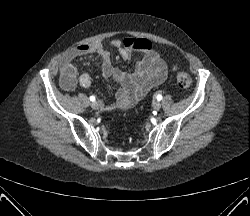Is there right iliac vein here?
<instances>
[{
	"label": "right iliac vein",
	"mask_w": 250,
	"mask_h": 216,
	"mask_svg": "<svg viewBox=\"0 0 250 216\" xmlns=\"http://www.w3.org/2000/svg\"><path fill=\"white\" fill-rule=\"evenodd\" d=\"M91 107H92L94 110H96V109H98V107H99V103L96 102V101H94V102L91 104Z\"/></svg>",
	"instance_id": "1"
}]
</instances>
